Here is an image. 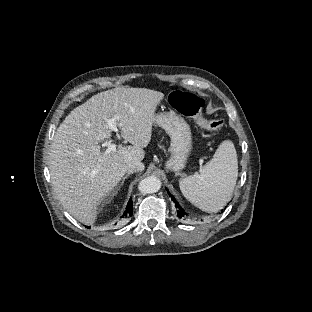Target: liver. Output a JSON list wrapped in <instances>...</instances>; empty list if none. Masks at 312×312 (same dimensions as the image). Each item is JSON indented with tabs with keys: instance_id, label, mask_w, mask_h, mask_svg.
<instances>
[{
	"instance_id": "liver-1",
	"label": "liver",
	"mask_w": 312,
	"mask_h": 312,
	"mask_svg": "<svg viewBox=\"0 0 312 312\" xmlns=\"http://www.w3.org/2000/svg\"><path fill=\"white\" fill-rule=\"evenodd\" d=\"M164 96L146 88H113L92 96L60 124L49 157L51 182L58 201L78 221L95 224L99 207L116 195L128 164L144 159ZM112 117L132 146L103 152L99 142L110 138Z\"/></svg>"
}]
</instances>
